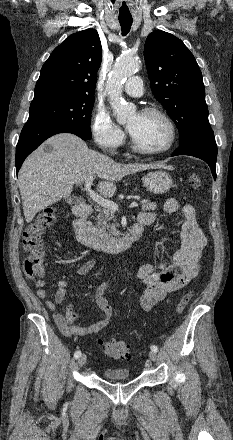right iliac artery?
<instances>
[{
  "label": "right iliac artery",
  "instance_id": "82829eb1",
  "mask_svg": "<svg viewBox=\"0 0 233 440\" xmlns=\"http://www.w3.org/2000/svg\"><path fill=\"white\" fill-rule=\"evenodd\" d=\"M80 355H81V351H79V350L76 351V352L74 353V357H75V359L79 358Z\"/></svg>",
  "mask_w": 233,
  "mask_h": 440
}]
</instances>
